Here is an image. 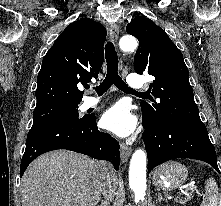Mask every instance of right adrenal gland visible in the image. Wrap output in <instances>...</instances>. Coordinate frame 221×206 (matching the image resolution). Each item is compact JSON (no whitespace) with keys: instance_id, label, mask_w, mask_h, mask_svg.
I'll list each match as a JSON object with an SVG mask.
<instances>
[{"instance_id":"right-adrenal-gland-1","label":"right adrenal gland","mask_w":221,"mask_h":206,"mask_svg":"<svg viewBox=\"0 0 221 206\" xmlns=\"http://www.w3.org/2000/svg\"><path fill=\"white\" fill-rule=\"evenodd\" d=\"M98 206H109V201H102Z\"/></svg>"}]
</instances>
